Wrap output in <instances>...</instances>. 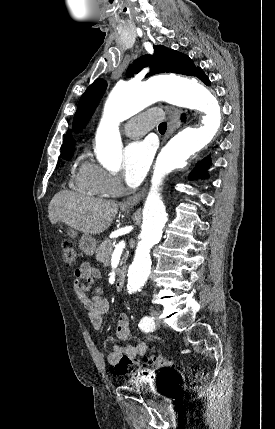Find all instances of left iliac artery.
<instances>
[{
	"label": "left iliac artery",
	"instance_id": "44dca946",
	"mask_svg": "<svg viewBox=\"0 0 275 429\" xmlns=\"http://www.w3.org/2000/svg\"><path fill=\"white\" fill-rule=\"evenodd\" d=\"M139 327L142 331L149 332L155 327L153 318L145 316L141 319Z\"/></svg>",
	"mask_w": 275,
	"mask_h": 429
}]
</instances>
